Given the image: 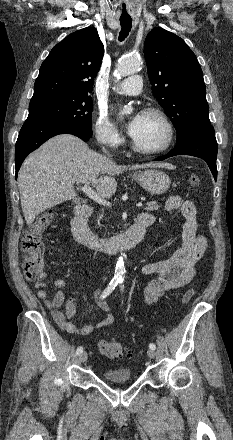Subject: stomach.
<instances>
[{
  "instance_id": "1",
  "label": "stomach",
  "mask_w": 233,
  "mask_h": 440,
  "mask_svg": "<svg viewBox=\"0 0 233 440\" xmlns=\"http://www.w3.org/2000/svg\"><path fill=\"white\" fill-rule=\"evenodd\" d=\"M134 179L151 195L163 194L171 185L170 177L165 172L157 169L136 173Z\"/></svg>"
}]
</instances>
